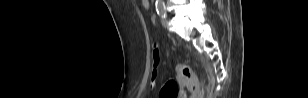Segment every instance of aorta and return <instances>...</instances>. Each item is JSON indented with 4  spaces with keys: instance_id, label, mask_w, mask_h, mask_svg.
<instances>
[{
    "instance_id": "aorta-1",
    "label": "aorta",
    "mask_w": 308,
    "mask_h": 98,
    "mask_svg": "<svg viewBox=\"0 0 308 98\" xmlns=\"http://www.w3.org/2000/svg\"><path fill=\"white\" fill-rule=\"evenodd\" d=\"M162 3H163V0H156V4H157L158 6H162Z\"/></svg>"
}]
</instances>
